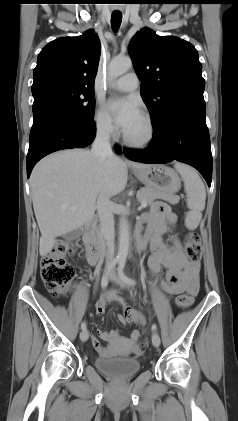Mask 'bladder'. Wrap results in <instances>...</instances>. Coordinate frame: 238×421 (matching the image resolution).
Returning <instances> with one entry per match:
<instances>
[{
  "label": "bladder",
  "mask_w": 238,
  "mask_h": 421,
  "mask_svg": "<svg viewBox=\"0 0 238 421\" xmlns=\"http://www.w3.org/2000/svg\"><path fill=\"white\" fill-rule=\"evenodd\" d=\"M95 366L102 373L118 379L129 378L141 368L140 362L136 359L111 356L98 357Z\"/></svg>",
  "instance_id": "1"
}]
</instances>
